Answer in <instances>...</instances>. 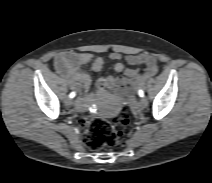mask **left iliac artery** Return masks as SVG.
<instances>
[{
    "mask_svg": "<svg viewBox=\"0 0 212 183\" xmlns=\"http://www.w3.org/2000/svg\"><path fill=\"white\" fill-rule=\"evenodd\" d=\"M138 94H139L140 97H143V96H144L143 90L140 89V90L138 91Z\"/></svg>",
    "mask_w": 212,
    "mask_h": 183,
    "instance_id": "left-iliac-artery-1",
    "label": "left iliac artery"
}]
</instances>
